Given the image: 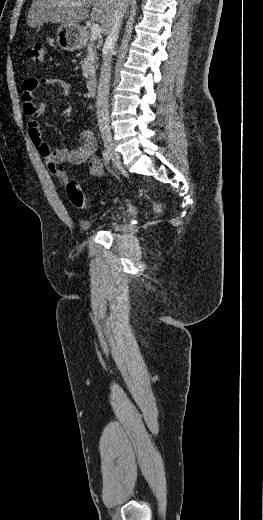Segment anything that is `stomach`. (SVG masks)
I'll return each instance as SVG.
<instances>
[{
  "label": "stomach",
  "instance_id": "stomach-1",
  "mask_svg": "<svg viewBox=\"0 0 263 520\" xmlns=\"http://www.w3.org/2000/svg\"><path fill=\"white\" fill-rule=\"evenodd\" d=\"M82 28L77 24L62 23L57 29V43L66 51H75L81 48L83 36Z\"/></svg>",
  "mask_w": 263,
  "mask_h": 520
}]
</instances>
